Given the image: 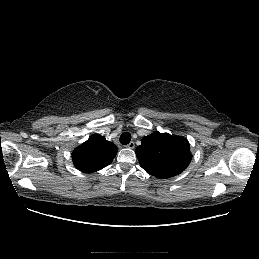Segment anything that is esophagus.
<instances>
[{"label":"esophagus","instance_id":"esophagus-1","mask_svg":"<svg viewBox=\"0 0 259 259\" xmlns=\"http://www.w3.org/2000/svg\"><path fill=\"white\" fill-rule=\"evenodd\" d=\"M126 147L129 148V149H134L135 143L132 141L129 144H127Z\"/></svg>","mask_w":259,"mask_h":259}]
</instances>
